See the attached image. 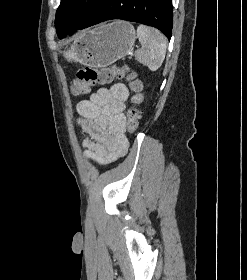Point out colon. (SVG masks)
<instances>
[{
	"instance_id": "colon-1",
	"label": "colon",
	"mask_w": 247,
	"mask_h": 280,
	"mask_svg": "<svg viewBox=\"0 0 247 280\" xmlns=\"http://www.w3.org/2000/svg\"><path fill=\"white\" fill-rule=\"evenodd\" d=\"M115 78H126L130 89L134 92L131 99L132 107L127 112L126 126L130 133H135L139 123V111L136 107L141 101L142 84L136 75L128 72L126 67H85L80 69L72 83V92L75 95H81L89 92L96 85H104L112 82Z\"/></svg>"
}]
</instances>
